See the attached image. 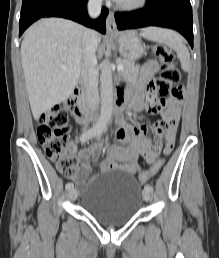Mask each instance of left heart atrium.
Returning <instances> with one entry per match:
<instances>
[{
    "label": "left heart atrium",
    "mask_w": 219,
    "mask_h": 258,
    "mask_svg": "<svg viewBox=\"0 0 219 258\" xmlns=\"http://www.w3.org/2000/svg\"><path fill=\"white\" fill-rule=\"evenodd\" d=\"M114 1H116V2H120V1H122V0H114Z\"/></svg>",
    "instance_id": "1"
}]
</instances>
